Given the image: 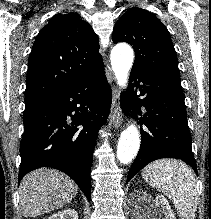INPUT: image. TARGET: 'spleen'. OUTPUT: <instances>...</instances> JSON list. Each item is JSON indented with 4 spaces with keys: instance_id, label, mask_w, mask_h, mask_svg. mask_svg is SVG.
Here are the masks:
<instances>
[{
    "instance_id": "3e777b00",
    "label": "spleen",
    "mask_w": 211,
    "mask_h": 219,
    "mask_svg": "<svg viewBox=\"0 0 211 219\" xmlns=\"http://www.w3.org/2000/svg\"><path fill=\"white\" fill-rule=\"evenodd\" d=\"M143 179L166 194L181 219H194L197 211L196 180L191 169L174 159L157 160L142 172Z\"/></svg>"
}]
</instances>
